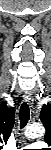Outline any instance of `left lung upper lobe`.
<instances>
[{
	"instance_id": "1",
	"label": "left lung upper lobe",
	"mask_w": 51,
	"mask_h": 150,
	"mask_svg": "<svg viewBox=\"0 0 51 150\" xmlns=\"http://www.w3.org/2000/svg\"><path fill=\"white\" fill-rule=\"evenodd\" d=\"M40 119L46 128L45 141L51 143V104L43 106L40 113Z\"/></svg>"
}]
</instances>
